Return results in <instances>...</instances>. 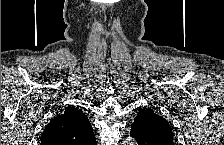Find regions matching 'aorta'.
<instances>
[{"mask_svg":"<svg viewBox=\"0 0 224 145\" xmlns=\"http://www.w3.org/2000/svg\"><path fill=\"white\" fill-rule=\"evenodd\" d=\"M124 144H127V145H134L135 142L133 139L131 138H127L125 141H124Z\"/></svg>","mask_w":224,"mask_h":145,"instance_id":"aorta-1","label":"aorta"}]
</instances>
